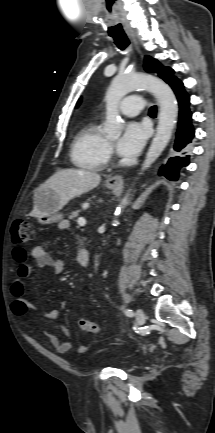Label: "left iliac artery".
<instances>
[{"instance_id": "obj_1", "label": "left iliac artery", "mask_w": 215, "mask_h": 433, "mask_svg": "<svg viewBox=\"0 0 215 433\" xmlns=\"http://www.w3.org/2000/svg\"><path fill=\"white\" fill-rule=\"evenodd\" d=\"M125 314H126L127 316H129V317H132V316L134 315V313H133V311H132L131 309H127V310L125 311Z\"/></svg>"}]
</instances>
